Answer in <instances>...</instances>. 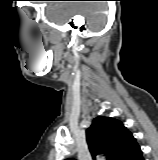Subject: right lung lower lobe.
<instances>
[{
  "label": "right lung lower lobe",
  "mask_w": 158,
  "mask_h": 160,
  "mask_svg": "<svg viewBox=\"0 0 158 160\" xmlns=\"http://www.w3.org/2000/svg\"><path fill=\"white\" fill-rule=\"evenodd\" d=\"M126 160H144L140 146H138L136 150L126 158Z\"/></svg>",
  "instance_id": "obj_1"
}]
</instances>
